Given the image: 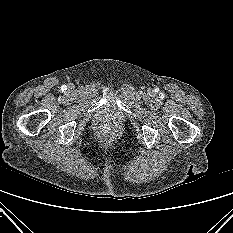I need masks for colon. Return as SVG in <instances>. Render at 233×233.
<instances>
[{
	"mask_svg": "<svg viewBox=\"0 0 233 233\" xmlns=\"http://www.w3.org/2000/svg\"><path fill=\"white\" fill-rule=\"evenodd\" d=\"M100 135H101L102 138L108 140V139L111 138L112 133L108 128H102L100 130Z\"/></svg>",
	"mask_w": 233,
	"mask_h": 233,
	"instance_id": "5ec220e1",
	"label": "colon"
}]
</instances>
